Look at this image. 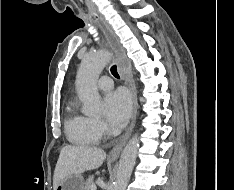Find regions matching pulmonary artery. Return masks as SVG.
I'll use <instances>...</instances> for the list:
<instances>
[{
    "instance_id": "pulmonary-artery-1",
    "label": "pulmonary artery",
    "mask_w": 234,
    "mask_h": 190,
    "mask_svg": "<svg viewBox=\"0 0 234 190\" xmlns=\"http://www.w3.org/2000/svg\"><path fill=\"white\" fill-rule=\"evenodd\" d=\"M98 87L101 90H109L112 88L113 84H112V80L110 77L108 76H103L101 77L98 82H97Z\"/></svg>"
}]
</instances>
